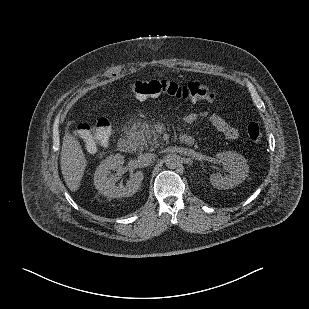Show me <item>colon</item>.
Returning a JSON list of instances; mask_svg holds the SVG:
<instances>
[{
    "label": "colon",
    "instance_id": "colon-1",
    "mask_svg": "<svg viewBox=\"0 0 309 309\" xmlns=\"http://www.w3.org/2000/svg\"><path fill=\"white\" fill-rule=\"evenodd\" d=\"M130 92L139 100L155 98L166 94L189 102L205 101L214 99L213 91L206 85L198 82H190L180 85L169 80H152L149 82H134L130 85ZM79 137L84 142L85 148L92 152L98 145L106 144L111 136V124L105 117H100L92 122L77 128ZM247 135L253 142H260L262 133L257 123H249Z\"/></svg>",
    "mask_w": 309,
    "mask_h": 309
}]
</instances>
